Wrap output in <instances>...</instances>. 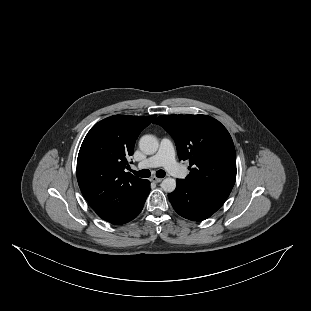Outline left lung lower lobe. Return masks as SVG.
<instances>
[{"label":"left lung lower lobe","mask_w":311,"mask_h":311,"mask_svg":"<svg viewBox=\"0 0 311 311\" xmlns=\"http://www.w3.org/2000/svg\"><path fill=\"white\" fill-rule=\"evenodd\" d=\"M229 194L177 179L176 189L168 194V198L179 215L189 220L202 221L214 214Z\"/></svg>","instance_id":"1"}]
</instances>
